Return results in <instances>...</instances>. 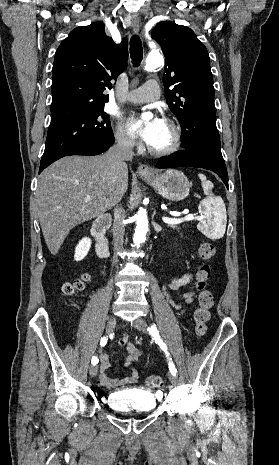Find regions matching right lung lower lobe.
I'll return each mask as SVG.
<instances>
[{"mask_svg": "<svg viewBox=\"0 0 279 465\" xmlns=\"http://www.w3.org/2000/svg\"><path fill=\"white\" fill-rule=\"evenodd\" d=\"M114 143V139L111 140L110 142H105L101 144H80L77 146H74L72 148H69L62 153L56 155L49 161L43 163L40 165L39 168V173L42 172L47 166H49L51 163L54 161L64 157V156H69V155H98L104 151H106L112 144Z\"/></svg>", "mask_w": 279, "mask_h": 465, "instance_id": "right-lung-lower-lobe-1", "label": "right lung lower lobe"}]
</instances>
